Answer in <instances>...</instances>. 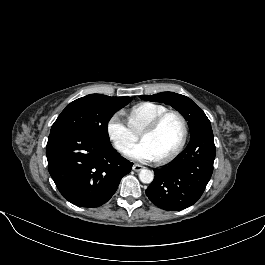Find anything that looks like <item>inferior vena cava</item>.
Listing matches in <instances>:
<instances>
[{"label": "inferior vena cava", "mask_w": 265, "mask_h": 265, "mask_svg": "<svg viewBox=\"0 0 265 265\" xmlns=\"http://www.w3.org/2000/svg\"><path fill=\"white\" fill-rule=\"evenodd\" d=\"M118 149L121 151L122 150V147L120 146V147H118Z\"/></svg>", "instance_id": "obj_1"}]
</instances>
